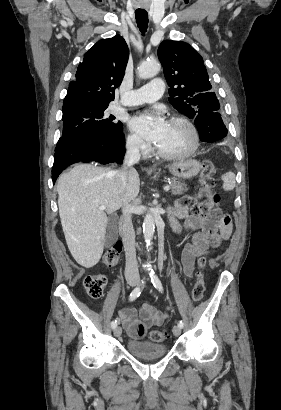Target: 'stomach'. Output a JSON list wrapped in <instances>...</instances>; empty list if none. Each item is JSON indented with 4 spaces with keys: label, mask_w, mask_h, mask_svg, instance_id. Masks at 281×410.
Masks as SVG:
<instances>
[{
    "label": "stomach",
    "mask_w": 281,
    "mask_h": 410,
    "mask_svg": "<svg viewBox=\"0 0 281 410\" xmlns=\"http://www.w3.org/2000/svg\"><path fill=\"white\" fill-rule=\"evenodd\" d=\"M168 169L177 178L190 179L200 172L201 164L195 159H185L170 164Z\"/></svg>",
    "instance_id": "obj_1"
}]
</instances>
